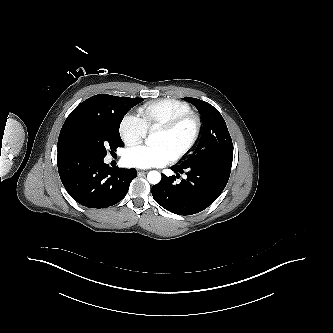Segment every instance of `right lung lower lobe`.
Wrapping results in <instances>:
<instances>
[{
  "mask_svg": "<svg viewBox=\"0 0 333 333\" xmlns=\"http://www.w3.org/2000/svg\"><path fill=\"white\" fill-rule=\"evenodd\" d=\"M103 157L85 152L58 151V172L69 195L89 208H106L127 194L136 169L110 168Z\"/></svg>",
  "mask_w": 333,
  "mask_h": 333,
  "instance_id": "right-lung-lower-lobe-1",
  "label": "right lung lower lobe"
}]
</instances>
